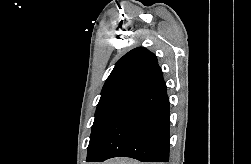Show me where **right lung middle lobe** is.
Wrapping results in <instances>:
<instances>
[{"instance_id":"dd1d6c3e","label":"right lung middle lobe","mask_w":251,"mask_h":164,"mask_svg":"<svg viewBox=\"0 0 251 164\" xmlns=\"http://www.w3.org/2000/svg\"><path fill=\"white\" fill-rule=\"evenodd\" d=\"M140 94L139 89L122 88L101 95L95 112L87 158L94 152L114 121Z\"/></svg>"}]
</instances>
